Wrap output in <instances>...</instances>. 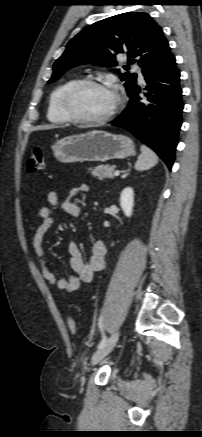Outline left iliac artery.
<instances>
[{
    "label": "left iliac artery",
    "instance_id": "left-iliac-artery-1",
    "mask_svg": "<svg viewBox=\"0 0 202 437\" xmlns=\"http://www.w3.org/2000/svg\"><path fill=\"white\" fill-rule=\"evenodd\" d=\"M102 320H103V317L100 316L99 317L98 325H99V328L101 329V332H102V339H101L100 343L98 344V349L102 348L106 344V342H107V338H106V336L103 333V323H102Z\"/></svg>",
    "mask_w": 202,
    "mask_h": 437
}]
</instances>
